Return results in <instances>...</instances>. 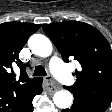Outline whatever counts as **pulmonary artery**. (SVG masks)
Instances as JSON below:
<instances>
[{
  "instance_id": "e3ab8cb5",
  "label": "pulmonary artery",
  "mask_w": 112,
  "mask_h": 112,
  "mask_svg": "<svg viewBox=\"0 0 112 112\" xmlns=\"http://www.w3.org/2000/svg\"><path fill=\"white\" fill-rule=\"evenodd\" d=\"M50 69L52 73L62 83L70 85L72 83V75L68 71L66 65L60 61L57 57H53L50 61Z\"/></svg>"
}]
</instances>
